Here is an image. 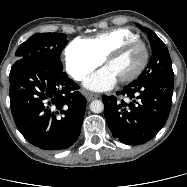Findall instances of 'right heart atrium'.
Instances as JSON below:
<instances>
[{"label": "right heart atrium", "instance_id": "obj_1", "mask_svg": "<svg viewBox=\"0 0 187 187\" xmlns=\"http://www.w3.org/2000/svg\"><path fill=\"white\" fill-rule=\"evenodd\" d=\"M64 60L68 73L77 81L103 63V58L84 39H75L66 46Z\"/></svg>", "mask_w": 187, "mask_h": 187}]
</instances>
